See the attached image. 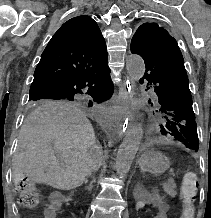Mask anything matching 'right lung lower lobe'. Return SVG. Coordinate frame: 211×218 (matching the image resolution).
<instances>
[{
	"mask_svg": "<svg viewBox=\"0 0 211 218\" xmlns=\"http://www.w3.org/2000/svg\"><path fill=\"white\" fill-rule=\"evenodd\" d=\"M86 89L91 98L108 99L113 93V83L110 79V69L108 67V60L93 67L84 75L76 78L62 81L45 91L41 92L37 97H75L76 94H84L82 91Z\"/></svg>",
	"mask_w": 211,
	"mask_h": 218,
	"instance_id": "98d812e1",
	"label": "right lung lower lobe"
}]
</instances>
